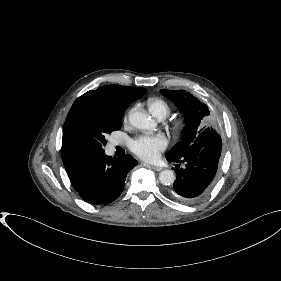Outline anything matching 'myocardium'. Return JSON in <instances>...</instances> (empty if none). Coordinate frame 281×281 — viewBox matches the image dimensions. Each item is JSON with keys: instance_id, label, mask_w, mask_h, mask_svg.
<instances>
[{"instance_id": "1", "label": "myocardium", "mask_w": 281, "mask_h": 281, "mask_svg": "<svg viewBox=\"0 0 281 281\" xmlns=\"http://www.w3.org/2000/svg\"><path fill=\"white\" fill-rule=\"evenodd\" d=\"M184 127V122L182 120H175L173 123H172V129L175 131V132H180Z\"/></svg>"}]
</instances>
